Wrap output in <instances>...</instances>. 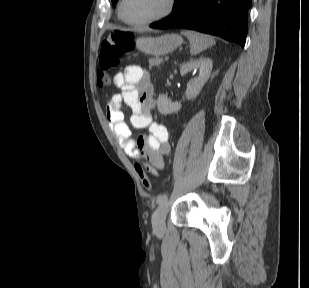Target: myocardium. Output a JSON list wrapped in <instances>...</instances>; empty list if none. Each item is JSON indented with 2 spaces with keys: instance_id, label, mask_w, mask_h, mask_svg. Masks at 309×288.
Segmentation results:
<instances>
[{
  "instance_id": "f54148a6",
  "label": "myocardium",
  "mask_w": 309,
  "mask_h": 288,
  "mask_svg": "<svg viewBox=\"0 0 309 288\" xmlns=\"http://www.w3.org/2000/svg\"><path fill=\"white\" fill-rule=\"evenodd\" d=\"M125 1L126 0H121L120 1L119 7H118V14H119V17L121 18V20L125 24H127L129 26H133V27L149 26V25L155 24V23H157V22L167 18L168 16H170L174 12L175 7H176V2H177L176 0H167L166 1L167 6H166L165 10L162 13H160L159 15H157L155 17L147 19V20L134 22V21L128 20L124 16L123 8H124Z\"/></svg>"
}]
</instances>
